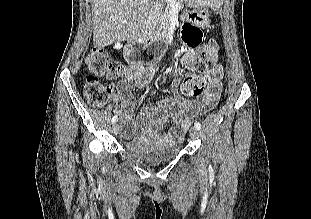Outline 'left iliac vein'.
Instances as JSON below:
<instances>
[{
    "mask_svg": "<svg viewBox=\"0 0 311 219\" xmlns=\"http://www.w3.org/2000/svg\"><path fill=\"white\" fill-rule=\"evenodd\" d=\"M198 136H199V131H198V129L195 128V127H192V128L190 129V137H191L193 140H195V139L198 138Z\"/></svg>",
    "mask_w": 311,
    "mask_h": 219,
    "instance_id": "4c4485c4",
    "label": "left iliac vein"
}]
</instances>
